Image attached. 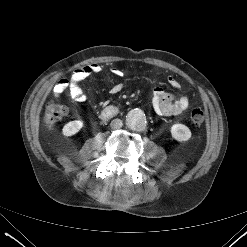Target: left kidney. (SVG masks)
I'll return each mask as SVG.
<instances>
[{
    "mask_svg": "<svg viewBox=\"0 0 247 247\" xmlns=\"http://www.w3.org/2000/svg\"><path fill=\"white\" fill-rule=\"evenodd\" d=\"M171 135L175 140L184 142L191 138V131L184 124H174L171 127Z\"/></svg>",
    "mask_w": 247,
    "mask_h": 247,
    "instance_id": "1",
    "label": "left kidney"
}]
</instances>
